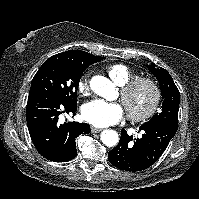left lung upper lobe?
Instances as JSON below:
<instances>
[{"label": "left lung upper lobe", "instance_id": "1", "mask_svg": "<svg viewBox=\"0 0 199 199\" xmlns=\"http://www.w3.org/2000/svg\"><path fill=\"white\" fill-rule=\"evenodd\" d=\"M151 73L158 79L163 98L162 110L144 124H163L178 128V110L180 93L169 72L163 68L147 65Z\"/></svg>", "mask_w": 199, "mask_h": 199}]
</instances>
